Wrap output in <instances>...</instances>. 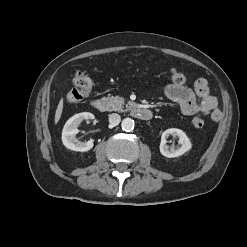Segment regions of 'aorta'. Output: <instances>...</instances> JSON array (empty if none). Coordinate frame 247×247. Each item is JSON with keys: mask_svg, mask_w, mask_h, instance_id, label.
Returning <instances> with one entry per match:
<instances>
[{"mask_svg": "<svg viewBox=\"0 0 247 247\" xmlns=\"http://www.w3.org/2000/svg\"><path fill=\"white\" fill-rule=\"evenodd\" d=\"M122 129L126 132H129V131H132L134 129V126H135V123H134V120L131 119V118H125L123 121H122Z\"/></svg>", "mask_w": 247, "mask_h": 247, "instance_id": "1", "label": "aorta"}]
</instances>
